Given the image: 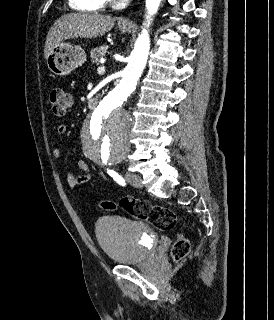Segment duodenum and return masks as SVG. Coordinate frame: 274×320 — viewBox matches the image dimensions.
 I'll return each mask as SVG.
<instances>
[{
  "label": "duodenum",
  "instance_id": "obj_1",
  "mask_svg": "<svg viewBox=\"0 0 274 320\" xmlns=\"http://www.w3.org/2000/svg\"><path fill=\"white\" fill-rule=\"evenodd\" d=\"M99 105V99L96 97H92L89 99V107L90 108H97Z\"/></svg>",
  "mask_w": 274,
  "mask_h": 320
}]
</instances>
